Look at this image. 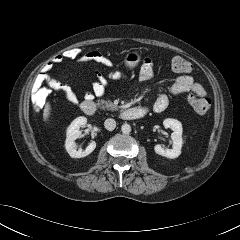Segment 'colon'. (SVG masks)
I'll use <instances>...</instances> for the list:
<instances>
[{"label": "colon", "instance_id": "1", "mask_svg": "<svg viewBox=\"0 0 240 240\" xmlns=\"http://www.w3.org/2000/svg\"><path fill=\"white\" fill-rule=\"evenodd\" d=\"M85 54L83 50L79 47L69 48L62 53H60V57L63 61H72L75 63H84ZM172 70L176 73L186 74L191 71V64L189 61L182 57H174L171 62ZM47 99V92L45 90L39 91L34 97L33 102L36 107L45 103ZM188 103L193 108V110L198 115H205L208 113L211 103L208 98L198 96L194 93H191L187 97Z\"/></svg>", "mask_w": 240, "mask_h": 240}]
</instances>
